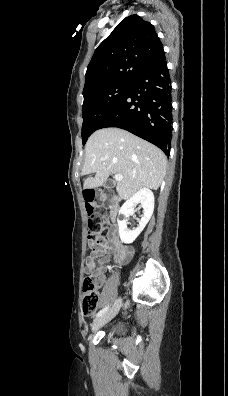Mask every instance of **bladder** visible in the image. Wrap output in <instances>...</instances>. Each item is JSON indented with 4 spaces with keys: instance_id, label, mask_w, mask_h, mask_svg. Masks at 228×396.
Returning a JSON list of instances; mask_svg holds the SVG:
<instances>
[{
    "instance_id": "obj_1",
    "label": "bladder",
    "mask_w": 228,
    "mask_h": 396,
    "mask_svg": "<svg viewBox=\"0 0 228 396\" xmlns=\"http://www.w3.org/2000/svg\"><path fill=\"white\" fill-rule=\"evenodd\" d=\"M110 334L113 336H120L123 334V329L119 326H115L111 331Z\"/></svg>"
}]
</instances>
